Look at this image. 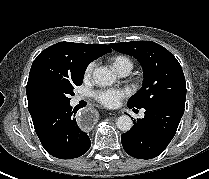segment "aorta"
Masks as SVG:
<instances>
[{"instance_id": "762f6f07", "label": "aorta", "mask_w": 209, "mask_h": 179, "mask_svg": "<svg viewBox=\"0 0 209 179\" xmlns=\"http://www.w3.org/2000/svg\"><path fill=\"white\" fill-rule=\"evenodd\" d=\"M93 80L99 86H110L115 82L116 77L108 68L100 67L94 70ZM116 124L118 129L125 132L133 126L132 119L128 115L118 117Z\"/></svg>"}]
</instances>
